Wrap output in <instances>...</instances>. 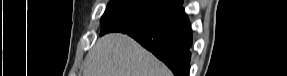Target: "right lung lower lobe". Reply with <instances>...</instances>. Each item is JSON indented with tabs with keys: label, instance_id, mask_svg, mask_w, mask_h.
Masks as SVG:
<instances>
[{
	"label": "right lung lower lobe",
	"instance_id": "98d812e1",
	"mask_svg": "<svg viewBox=\"0 0 287 76\" xmlns=\"http://www.w3.org/2000/svg\"><path fill=\"white\" fill-rule=\"evenodd\" d=\"M181 4L147 28L127 34L162 60L175 76H188L192 33Z\"/></svg>",
	"mask_w": 287,
	"mask_h": 76
}]
</instances>
